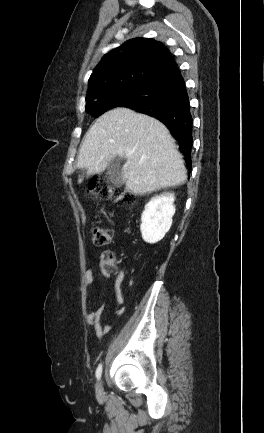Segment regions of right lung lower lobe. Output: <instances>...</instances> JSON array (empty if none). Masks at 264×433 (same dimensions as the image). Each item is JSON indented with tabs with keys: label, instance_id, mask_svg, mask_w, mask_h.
<instances>
[{
	"label": "right lung lower lobe",
	"instance_id": "obj_1",
	"mask_svg": "<svg viewBox=\"0 0 264 433\" xmlns=\"http://www.w3.org/2000/svg\"><path fill=\"white\" fill-rule=\"evenodd\" d=\"M123 107L150 115L170 130L191 169L192 116L184 79L170 57L142 83L138 93Z\"/></svg>",
	"mask_w": 264,
	"mask_h": 433
}]
</instances>
